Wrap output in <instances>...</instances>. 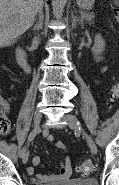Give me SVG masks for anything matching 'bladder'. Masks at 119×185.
Instances as JSON below:
<instances>
[{"mask_svg":"<svg viewBox=\"0 0 119 185\" xmlns=\"http://www.w3.org/2000/svg\"><path fill=\"white\" fill-rule=\"evenodd\" d=\"M51 185H98V182L94 178L88 179H74L65 182H58Z\"/></svg>","mask_w":119,"mask_h":185,"instance_id":"1","label":"bladder"}]
</instances>
